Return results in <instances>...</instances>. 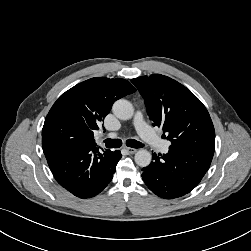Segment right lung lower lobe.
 Masks as SVG:
<instances>
[{"mask_svg": "<svg viewBox=\"0 0 251 251\" xmlns=\"http://www.w3.org/2000/svg\"><path fill=\"white\" fill-rule=\"evenodd\" d=\"M43 152L56 181L79 198L100 193L122 156L119 150L100 152L95 146H48Z\"/></svg>", "mask_w": 251, "mask_h": 251, "instance_id": "obj_1", "label": "right lung lower lobe"}]
</instances>
